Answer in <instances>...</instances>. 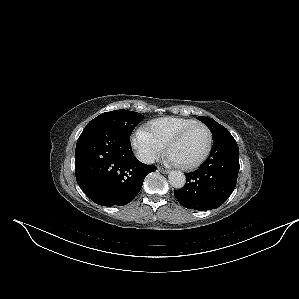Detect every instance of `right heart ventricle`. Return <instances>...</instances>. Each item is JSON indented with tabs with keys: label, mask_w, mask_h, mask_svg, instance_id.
<instances>
[{
	"label": "right heart ventricle",
	"mask_w": 299,
	"mask_h": 299,
	"mask_svg": "<svg viewBox=\"0 0 299 299\" xmlns=\"http://www.w3.org/2000/svg\"><path fill=\"white\" fill-rule=\"evenodd\" d=\"M195 122L190 118L166 116L150 121L145 129L164 146L176 133Z\"/></svg>",
	"instance_id": "e07e8e85"
}]
</instances>
